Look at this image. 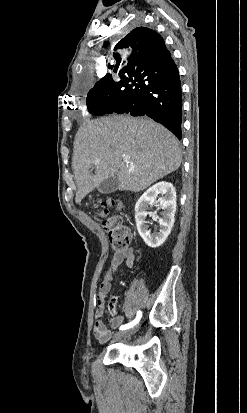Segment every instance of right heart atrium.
I'll list each match as a JSON object with an SVG mask.
<instances>
[{
	"label": "right heart atrium",
	"instance_id": "obj_1",
	"mask_svg": "<svg viewBox=\"0 0 247 413\" xmlns=\"http://www.w3.org/2000/svg\"><path fill=\"white\" fill-rule=\"evenodd\" d=\"M84 116H85L86 118H89V117L91 116V113H90L89 111H86V112L84 113ZM79 130H82V129H79ZM97 130H100V129H97Z\"/></svg>",
	"mask_w": 247,
	"mask_h": 413
}]
</instances>
